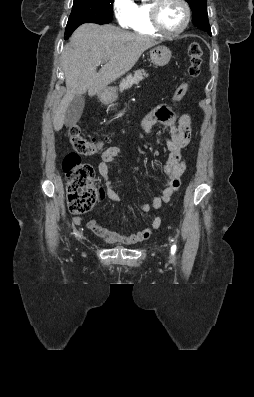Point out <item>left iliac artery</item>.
I'll return each instance as SVG.
<instances>
[{"label":"left iliac artery","mask_w":254,"mask_h":397,"mask_svg":"<svg viewBox=\"0 0 254 397\" xmlns=\"http://www.w3.org/2000/svg\"><path fill=\"white\" fill-rule=\"evenodd\" d=\"M175 251H176V245L173 244L172 247H171V253L174 254Z\"/></svg>","instance_id":"left-iliac-artery-1"}]
</instances>
